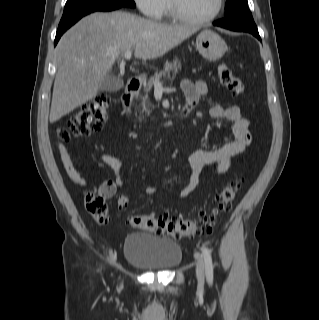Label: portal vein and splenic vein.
Segmentation results:
<instances>
[{
	"label": "portal vein and splenic vein",
	"instance_id": "obj_1",
	"mask_svg": "<svg viewBox=\"0 0 319 320\" xmlns=\"http://www.w3.org/2000/svg\"><path fill=\"white\" fill-rule=\"evenodd\" d=\"M131 56H132V52H131L130 50H128V51H126V52L124 53V58H125L126 60L130 59ZM154 88H155L156 90H162V89H163L162 84H161L159 81L154 82Z\"/></svg>",
	"mask_w": 319,
	"mask_h": 320
}]
</instances>
